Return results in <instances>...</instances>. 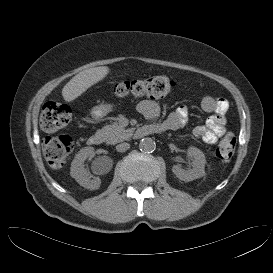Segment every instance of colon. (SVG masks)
Returning a JSON list of instances; mask_svg holds the SVG:
<instances>
[{
  "label": "colon",
  "mask_w": 273,
  "mask_h": 273,
  "mask_svg": "<svg viewBox=\"0 0 273 273\" xmlns=\"http://www.w3.org/2000/svg\"><path fill=\"white\" fill-rule=\"evenodd\" d=\"M176 86V81L166 76H153L144 79L120 81L113 85L112 93L117 97L133 95L158 99L166 96ZM68 105L49 101L44 104L41 113V127L46 132H54L65 127L71 120ZM236 137L228 133L216 148V155L221 162H229L235 152ZM73 140L68 136L49 137L44 141V155L52 167H61L73 151Z\"/></svg>",
  "instance_id": "1"
}]
</instances>
